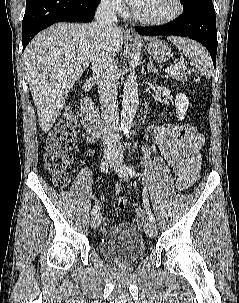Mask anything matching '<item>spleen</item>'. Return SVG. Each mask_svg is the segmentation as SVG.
<instances>
[{"label":"spleen","instance_id":"3e777b00","mask_svg":"<svg viewBox=\"0 0 239 303\" xmlns=\"http://www.w3.org/2000/svg\"><path fill=\"white\" fill-rule=\"evenodd\" d=\"M168 40L173 42L186 57L194 62L196 68L206 78H211L213 75V63L211 57L201 44L183 37H168Z\"/></svg>","mask_w":239,"mask_h":303}]
</instances>
